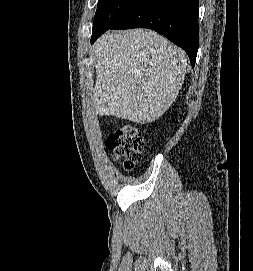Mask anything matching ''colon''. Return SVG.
Listing matches in <instances>:
<instances>
[{
    "instance_id": "colon-1",
    "label": "colon",
    "mask_w": 253,
    "mask_h": 271,
    "mask_svg": "<svg viewBox=\"0 0 253 271\" xmlns=\"http://www.w3.org/2000/svg\"><path fill=\"white\" fill-rule=\"evenodd\" d=\"M106 145L117 160H122L124 169L131 171L142 157L144 138L134 126L124 124L109 135Z\"/></svg>"
}]
</instances>
